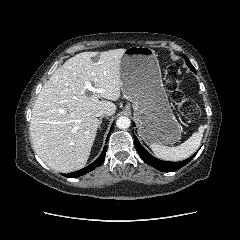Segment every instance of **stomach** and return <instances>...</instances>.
<instances>
[{
    "instance_id": "obj_1",
    "label": "stomach",
    "mask_w": 240,
    "mask_h": 240,
    "mask_svg": "<svg viewBox=\"0 0 240 240\" xmlns=\"http://www.w3.org/2000/svg\"><path fill=\"white\" fill-rule=\"evenodd\" d=\"M121 90L130 102L138 122V134L148 145H172L181 137L162 84L155 51L145 46L125 50L120 65Z\"/></svg>"
}]
</instances>
